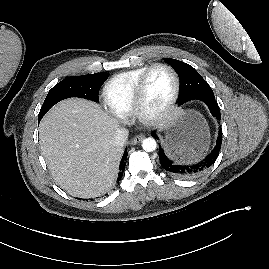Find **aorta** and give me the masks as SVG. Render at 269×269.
<instances>
[{"label": "aorta", "instance_id": "1", "mask_svg": "<svg viewBox=\"0 0 269 269\" xmlns=\"http://www.w3.org/2000/svg\"><path fill=\"white\" fill-rule=\"evenodd\" d=\"M157 147V143L154 138H146L142 142V148L146 152H153Z\"/></svg>", "mask_w": 269, "mask_h": 269}]
</instances>
